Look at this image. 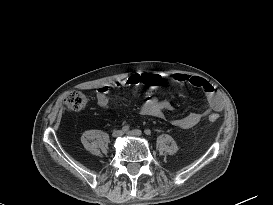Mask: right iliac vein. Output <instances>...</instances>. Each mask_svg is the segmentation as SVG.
I'll return each mask as SVG.
<instances>
[{"instance_id":"1","label":"right iliac vein","mask_w":273,"mask_h":205,"mask_svg":"<svg viewBox=\"0 0 273 205\" xmlns=\"http://www.w3.org/2000/svg\"><path fill=\"white\" fill-rule=\"evenodd\" d=\"M123 135V131L122 130H115V131H113V133H112V136L114 137V138H118V137H120V136H122Z\"/></svg>"}]
</instances>
